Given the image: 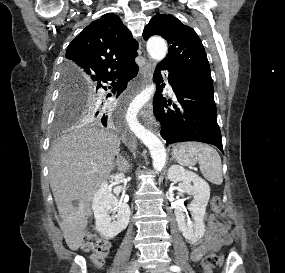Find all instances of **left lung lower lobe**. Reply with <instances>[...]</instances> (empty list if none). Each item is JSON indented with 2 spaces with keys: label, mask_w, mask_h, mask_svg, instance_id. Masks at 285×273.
<instances>
[{
  "label": "left lung lower lobe",
  "mask_w": 285,
  "mask_h": 273,
  "mask_svg": "<svg viewBox=\"0 0 285 273\" xmlns=\"http://www.w3.org/2000/svg\"><path fill=\"white\" fill-rule=\"evenodd\" d=\"M160 69L168 70V80L177 97L178 103L167 109L166 99L157 91L154 98V114L161 122V136L167 145L182 141H199L218 147L222 153L221 132L217 124V110L213 86L198 85L184 81L173 70L160 64ZM160 81L161 75L155 73ZM172 104L171 101H168Z\"/></svg>",
  "instance_id": "1"
}]
</instances>
